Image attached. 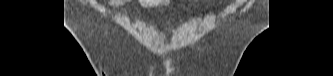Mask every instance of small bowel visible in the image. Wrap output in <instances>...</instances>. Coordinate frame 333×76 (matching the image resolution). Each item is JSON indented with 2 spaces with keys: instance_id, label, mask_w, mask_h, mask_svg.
<instances>
[{
  "instance_id": "obj_1",
  "label": "small bowel",
  "mask_w": 333,
  "mask_h": 76,
  "mask_svg": "<svg viewBox=\"0 0 333 76\" xmlns=\"http://www.w3.org/2000/svg\"><path fill=\"white\" fill-rule=\"evenodd\" d=\"M111 6H115V7H118V6H122L126 3L125 0H110L108 2ZM141 4L144 5V6H149V7H157V6H160L163 4V1H160V0H144V1H141Z\"/></svg>"
}]
</instances>
